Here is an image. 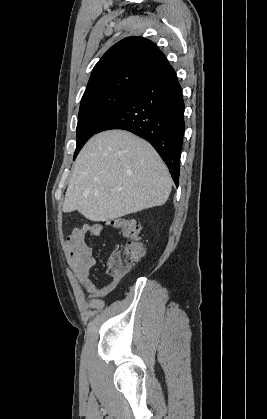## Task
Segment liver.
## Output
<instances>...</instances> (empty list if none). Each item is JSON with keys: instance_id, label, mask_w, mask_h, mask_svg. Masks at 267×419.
Wrapping results in <instances>:
<instances>
[{"instance_id": "1", "label": "liver", "mask_w": 267, "mask_h": 419, "mask_svg": "<svg viewBox=\"0 0 267 419\" xmlns=\"http://www.w3.org/2000/svg\"><path fill=\"white\" fill-rule=\"evenodd\" d=\"M172 188L168 168L145 140L124 130L94 135L79 153L63 211L100 222L162 206Z\"/></svg>"}]
</instances>
